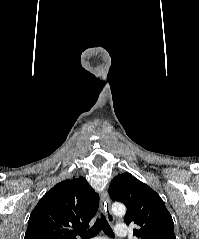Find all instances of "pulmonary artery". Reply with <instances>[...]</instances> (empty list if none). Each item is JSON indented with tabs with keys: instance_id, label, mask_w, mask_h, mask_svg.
I'll list each match as a JSON object with an SVG mask.
<instances>
[{
	"instance_id": "pulmonary-artery-1",
	"label": "pulmonary artery",
	"mask_w": 199,
	"mask_h": 239,
	"mask_svg": "<svg viewBox=\"0 0 199 239\" xmlns=\"http://www.w3.org/2000/svg\"><path fill=\"white\" fill-rule=\"evenodd\" d=\"M116 236L120 239H123L128 236V229L125 224H116L114 226Z\"/></svg>"
}]
</instances>
